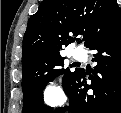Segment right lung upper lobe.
Returning a JSON list of instances; mask_svg holds the SVG:
<instances>
[{
  "label": "right lung upper lobe",
  "mask_w": 121,
  "mask_h": 113,
  "mask_svg": "<svg viewBox=\"0 0 121 113\" xmlns=\"http://www.w3.org/2000/svg\"><path fill=\"white\" fill-rule=\"evenodd\" d=\"M121 30V9L116 0H43L28 21L23 39L22 68L60 52L84 34L85 46Z\"/></svg>",
  "instance_id": "obj_1"
}]
</instances>
